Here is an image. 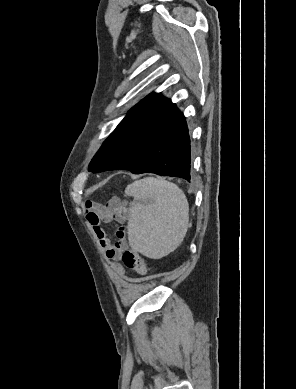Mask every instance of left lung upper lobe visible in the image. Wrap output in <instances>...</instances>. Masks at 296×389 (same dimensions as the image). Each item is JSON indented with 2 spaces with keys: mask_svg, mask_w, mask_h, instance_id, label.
Listing matches in <instances>:
<instances>
[{
  "mask_svg": "<svg viewBox=\"0 0 296 389\" xmlns=\"http://www.w3.org/2000/svg\"><path fill=\"white\" fill-rule=\"evenodd\" d=\"M149 96V95H148ZM146 98V97H145ZM144 98V99H145ZM142 101V100H141ZM140 101V102H141ZM98 161H97V159H96V157L94 156V158L92 159V161H91V163H90V165H89V170L90 171H92V172H96V170H97V168H98Z\"/></svg>",
  "mask_w": 296,
  "mask_h": 389,
  "instance_id": "1",
  "label": "left lung upper lobe"
}]
</instances>
